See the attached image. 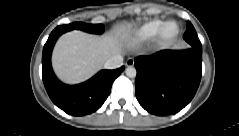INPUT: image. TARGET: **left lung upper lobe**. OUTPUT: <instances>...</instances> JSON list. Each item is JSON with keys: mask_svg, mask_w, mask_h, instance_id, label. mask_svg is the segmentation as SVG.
<instances>
[{"mask_svg": "<svg viewBox=\"0 0 239 136\" xmlns=\"http://www.w3.org/2000/svg\"><path fill=\"white\" fill-rule=\"evenodd\" d=\"M183 38L190 45V47L202 50V45L197 36V33L193 25L189 21L187 22V28L186 32L183 35Z\"/></svg>", "mask_w": 239, "mask_h": 136, "instance_id": "left-lung-upper-lobe-1", "label": "left lung upper lobe"}]
</instances>
